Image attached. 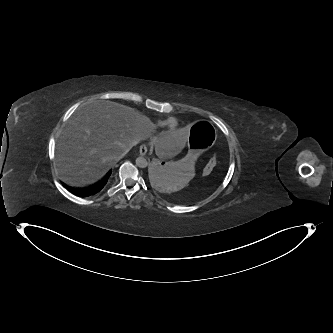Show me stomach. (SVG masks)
Listing matches in <instances>:
<instances>
[{
    "mask_svg": "<svg viewBox=\"0 0 333 333\" xmlns=\"http://www.w3.org/2000/svg\"><path fill=\"white\" fill-rule=\"evenodd\" d=\"M217 135L212 123L198 121L191 127L189 152L178 162L155 159L149 169L151 184L163 193H176L190 184L194 178V164L197 158L210 149Z\"/></svg>",
    "mask_w": 333,
    "mask_h": 333,
    "instance_id": "0dacf381",
    "label": "stomach"
}]
</instances>
